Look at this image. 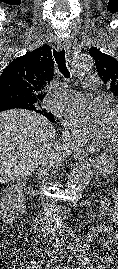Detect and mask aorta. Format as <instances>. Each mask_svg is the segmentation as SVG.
Returning <instances> with one entry per match:
<instances>
[{
    "label": "aorta",
    "mask_w": 118,
    "mask_h": 269,
    "mask_svg": "<svg viewBox=\"0 0 118 269\" xmlns=\"http://www.w3.org/2000/svg\"><path fill=\"white\" fill-rule=\"evenodd\" d=\"M93 59L88 54H81L76 57L72 65V72L75 76L80 77L92 70ZM91 176V169L87 165H80L74 168L67 181V185L70 188H75L82 184Z\"/></svg>",
    "instance_id": "obj_1"
}]
</instances>
